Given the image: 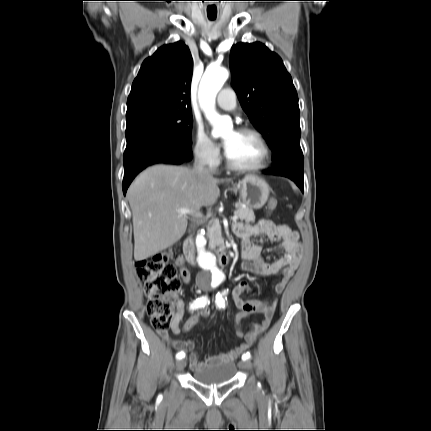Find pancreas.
<instances>
[{
    "label": "pancreas",
    "mask_w": 431,
    "mask_h": 431,
    "mask_svg": "<svg viewBox=\"0 0 431 431\" xmlns=\"http://www.w3.org/2000/svg\"><path fill=\"white\" fill-rule=\"evenodd\" d=\"M235 206V214L240 220H244L247 223L255 221V215L251 208L243 206L241 202H237ZM207 236L209 238L210 246L212 248H215L217 245H220L222 243L221 228L217 222L210 223L207 226Z\"/></svg>",
    "instance_id": "obj_1"
}]
</instances>
